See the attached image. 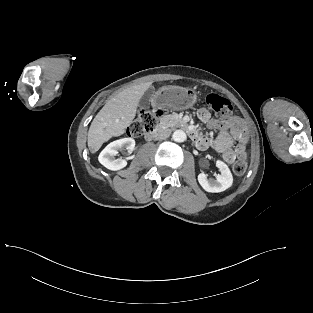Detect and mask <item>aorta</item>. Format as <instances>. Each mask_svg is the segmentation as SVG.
Wrapping results in <instances>:
<instances>
[{"instance_id":"obj_1","label":"aorta","mask_w":313,"mask_h":313,"mask_svg":"<svg viewBox=\"0 0 313 313\" xmlns=\"http://www.w3.org/2000/svg\"><path fill=\"white\" fill-rule=\"evenodd\" d=\"M172 139L175 142H184L186 140V134L183 130H175L173 132Z\"/></svg>"}]
</instances>
